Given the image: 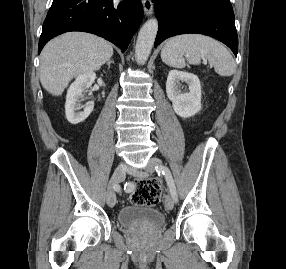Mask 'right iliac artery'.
<instances>
[{"mask_svg":"<svg viewBox=\"0 0 286 269\" xmlns=\"http://www.w3.org/2000/svg\"><path fill=\"white\" fill-rule=\"evenodd\" d=\"M130 186H131L130 183H128V184L126 183L125 186H124V190H126V188H128V187H130ZM113 188H114L115 190H119V189H120L119 185H117V184L114 185Z\"/></svg>","mask_w":286,"mask_h":269,"instance_id":"82829eb1","label":"right iliac artery"}]
</instances>
